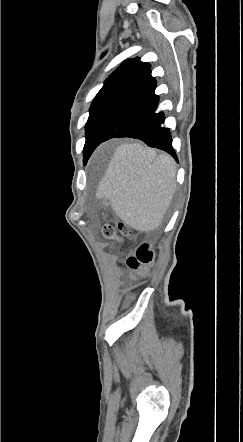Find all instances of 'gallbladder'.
<instances>
[{
	"mask_svg": "<svg viewBox=\"0 0 243 442\" xmlns=\"http://www.w3.org/2000/svg\"><path fill=\"white\" fill-rule=\"evenodd\" d=\"M103 203L106 205V206H110V201L108 200V199H103Z\"/></svg>",
	"mask_w": 243,
	"mask_h": 442,
	"instance_id": "1",
	"label": "gallbladder"
}]
</instances>
